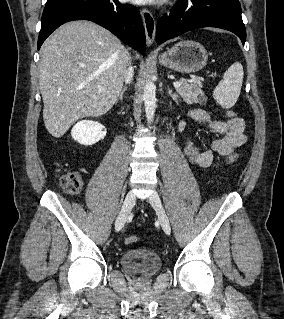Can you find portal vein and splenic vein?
<instances>
[{
  "mask_svg": "<svg viewBox=\"0 0 284 319\" xmlns=\"http://www.w3.org/2000/svg\"><path fill=\"white\" fill-rule=\"evenodd\" d=\"M181 85H182V82H179V81H176V82L173 83V86H174L175 88H179ZM102 88H103V87H100V89H102Z\"/></svg>",
  "mask_w": 284,
  "mask_h": 319,
  "instance_id": "18ae733b",
  "label": "portal vein and splenic vein"
}]
</instances>
